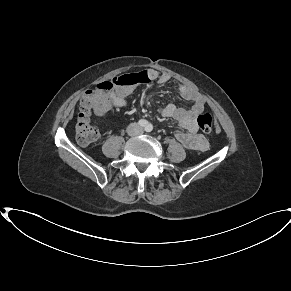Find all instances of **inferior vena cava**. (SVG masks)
Wrapping results in <instances>:
<instances>
[{"label": "inferior vena cava", "mask_w": 291, "mask_h": 291, "mask_svg": "<svg viewBox=\"0 0 291 291\" xmlns=\"http://www.w3.org/2000/svg\"><path fill=\"white\" fill-rule=\"evenodd\" d=\"M128 131L130 135H139L143 133L142 127H140L137 123L130 124Z\"/></svg>", "instance_id": "1"}]
</instances>
